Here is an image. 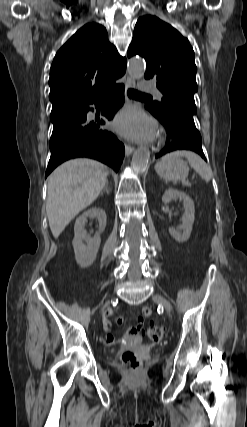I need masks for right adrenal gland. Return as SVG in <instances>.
Wrapping results in <instances>:
<instances>
[{"mask_svg":"<svg viewBox=\"0 0 247 427\" xmlns=\"http://www.w3.org/2000/svg\"><path fill=\"white\" fill-rule=\"evenodd\" d=\"M105 192L107 194H109V192H110V188H109L108 182L106 183V185L104 186L103 190L101 191V195H103V193H105Z\"/></svg>","mask_w":247,"mask_h":427,"instance_id":"obj_1","label":"right adrenal gland"}]
</instances>
